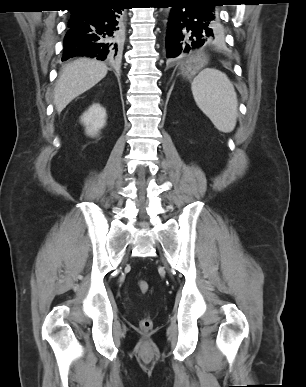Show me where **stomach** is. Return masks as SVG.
<instances>
[{
    "instance_id": "stomach-1",
    "label": "stomach",
    "mask_w": 306,
    "mask_h": 387,
    "mask_svg": "<svg viewBox=\"0 0 306 387\" xmlns=\"http://www.w3.org/2000/svg\"><path fill=\"white\" fill-rule=\"evenodd\" d=\"M203 64V59H197L189 62L185 66L181 68L182 75L188 79H190L196 71L201 67Z\"/></svg>"
}]
</instances>
